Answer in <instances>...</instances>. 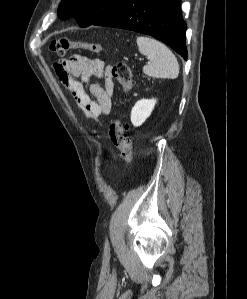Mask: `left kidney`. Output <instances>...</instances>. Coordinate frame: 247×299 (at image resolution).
<instances>
[{
	"label": "left kidney",
	"instance_id": "5707ae66",
	"mask_svg": "<svg viewBox=\"0 0 247 299\" xmlns=\"http://www.w3.org/2000/svg\"><path fill=\"white\" fill-rule=\"evenodd\" d=\"M156 99H141L138 100L131 110V122L133 126H141L145 120L151 115Z\"/></svg>",
	"mask_w": 247,
	"mask_h": 299
}]
</instances>
